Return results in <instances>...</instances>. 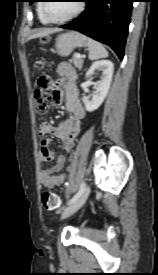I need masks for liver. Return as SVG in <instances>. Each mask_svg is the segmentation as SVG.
Segmentation results:
<instances>
[{
  "mask_svg": "<svg viewBox=\"0 0 158 275\" xmlns=\"http://www.w3.org/2000/svg\"><path fill=\"white\" fill-rule=\"evenodd\" d=\"M56 31H58V29H44V30H41V31L35 33L34 35H32L31 38L46 36V35L56 32Z\"/></svg>",
  "mask_w": 158,
  "mask_h": 275,
  "instance_id": "obj_1",
  "label": "liver"
}]
</instances>
